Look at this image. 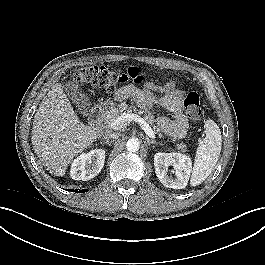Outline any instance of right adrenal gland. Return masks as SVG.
Instances as JSON below:
<instances>
[{"instance_id": "2a0ac1e0", "label": "right adrenal gland", "mask_w": 265, "mask_h": 265, "mask_svg": "<svg viewBox=\"0 0 265 265\" xmlns=\"http://www.w3.org/2000/svg\"><path fill=\"white\" fill-rule=\"evenodd\" d=\"M105 143H106V144H109V141H106Z\"/></svg>"}]
</instances>
